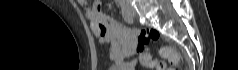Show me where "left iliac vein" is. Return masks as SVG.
I'll list each match as a JSON object with an SVG mask.
<instances>
[{
	"mask_svg": "<svg viewBox=\"0 0 238 70\" xmlns=\"http://www.w3.org/2000/svg\"><path fill=\"white\" fill-rule=\"evenodd\" d=\"M128 11L132 16L136 15V12H135L134 8H132L131 6L128 7Z\"/></svg>",
	"mask_w": 238,
	"mask_h": 70,
	"instance_id": "1",
	"label": "left iliac vein"
}]
</instances>
